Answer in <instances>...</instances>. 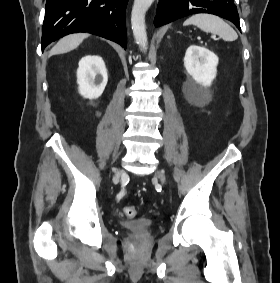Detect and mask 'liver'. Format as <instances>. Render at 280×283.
Returning <instances> with one entry per match:
<instances>
[{
  "label": "liver",
  "mask_w": 280,
  "mask_h": 283,
  "mask_svg": "<svg viewBox=\"0 0 280 283\" xmlns=\"http://www.w3.org/2000/svg\"><path fill=\"white\" fill-rule=\"evenodd\" d=\"M89 35L87 33L71 34L62 38L50 51V55H56L69 52L77 48L85 38Z\"/></svg>",
  "instance_id": "liver-1"
}]
</instances>
